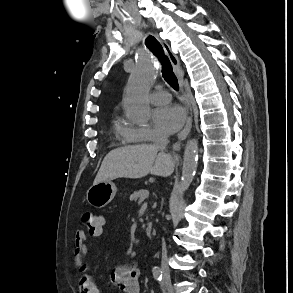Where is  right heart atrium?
Here are the masks:
<instances>
[{
  "instance_id": "d8ad5b80",
  "label": "right heart atrium",
  "mask_w": 293,
  "mask_h": 293,
  "mask_svg": "<svg viewBox=\"0 0 293 293\" xmlns=\"http://www.w3.org/2000/svg\"><path fill=\"white\" fill-rule=\"evenodd\" d=\"M163 134L149 125L127 126L126 137L135 141H153L163 138Z\"/></svg>"
}]
</instances>
